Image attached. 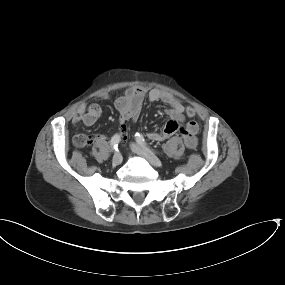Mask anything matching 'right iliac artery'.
Listing matches in <instances>:
<instances>
[{
  "instance_id": "82829eb1",
  "label": "right iliac artery",
  "mask_w": 285,
  "mask_h": 285,
  "mask_svg": "<svg viewBox=\"0 0 285 285\" xmlns=\"http://www.w3.org/2000/svg\"><path fill=\"white\" fill-rule=\"evenodd\" d=\"M119 143H120V136L118 134H115L110 141L112 150L118 151Z\"/></svg>"
}]
</instances>
